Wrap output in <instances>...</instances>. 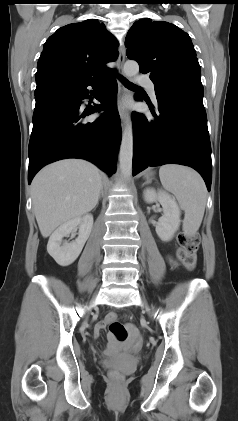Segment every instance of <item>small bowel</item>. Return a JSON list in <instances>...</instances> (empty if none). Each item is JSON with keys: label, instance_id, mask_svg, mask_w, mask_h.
Wrapping results in <instances>:
<instances>
[{"label": "small bowel", "instance_id": "small-bowel-1", "mask_svg": "<svg viewBox=\"0 0 238 421\" xmlns=\"http://www.w3.org/2000/svg\"><path fill=\"white\" fill-rule=\"evenodd\" d=\"M170 263H171L172 265H175V264H176V262H175L173 259H170ZM112 315H114V313H109V314L105 317V319H104V320H102V321H100L99 323H97V324H96V326H95V330H94L95 336H99V334L101 333V331H102V330L106 327V325L108 324V320H109V318H110ZM129 328H130V331H131L132 338H133V339H136V338H137V330H136V328H135L133 325H130V326H129Z\"/></svg>", "mask_w": 238, "mask_h": 421}]
</instances>
